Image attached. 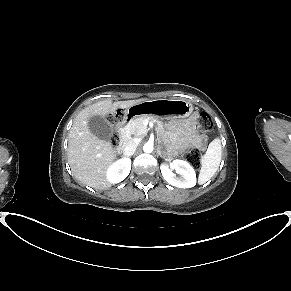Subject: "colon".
Listing matches in <instances>:
<instances>
[{
    "label": "colon",
    "instance_id": "obj_1",
    "mask_svg": "<svg viewBox=\"0 0 291 291\" xmlns=\"http://www.w3.org/2000/svg\"><path fill=\"white\" fill-rule=\"evenodd\" d=\"M126 116V112L124 110H117L116 112L109 115V120L111 123L118 125L121 123ZM214 127L213 120L207 113H202L199 115L197 120V133L203 137L205 134L210 132ZM110 143L112 147L116 148L121 143V138L119 131L115 128L110 137ZM184 159L192 165H198L200 160V151L196 148H191L183 152Z\"/></svg>",
    "mask_w": 291,
    "mask_h": 291
}]
</instances>
